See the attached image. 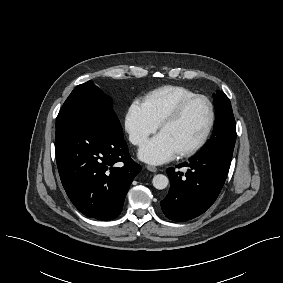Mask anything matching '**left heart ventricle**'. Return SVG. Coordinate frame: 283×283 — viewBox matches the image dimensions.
Here are the masks:
<instances>
[{
	"label": "left heart ventricle",
	"instance_id": "obj_1",
	"mask_svg": "<svg viewBox=\"0 0 283 283\" xmlns=\"http://www.w3.org/2000/svg\"><path fill=\"white\" fill-rule=\"evenodd\" d=\"M208 121L207 103L204 100H196L186 108L177 122L164 127L160 133L167 137L179 153L200 139Z\"/></svg>",
	"mask_w": 283,
	"mask_h": 283
}]
</instances>
